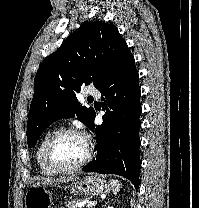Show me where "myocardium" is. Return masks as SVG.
Masks as SVG:
<instances>
[{
	"instance_id": "obj_1",
	"label": "myocardium",
	"mask_w": 199,
	"mask_h": 208,
	"mask_svg": "<svg viewBox=\"0 0 199 208\" xmlns=\"http://www.w3.org/2000/svg\"><path fill=\"white\" fill-rule=\"evenodd\" d=\"M66 135H77L81 137L86 146L85 157L79 163L70 167H62L58 165L53 159V148L55 144L60 138ZM93 154H94V149H93L91 142L89 141L88 136L84 132H82L80 129H77L74 127H67V128H63V129L56 131L52 135V137L49 139L45 147V160L48 166L55 172L62 173V174L72 173V172L80 170L81 168H83L85 165L88 164V162L92 159Z\"/></svg>"
}]
</instances>
